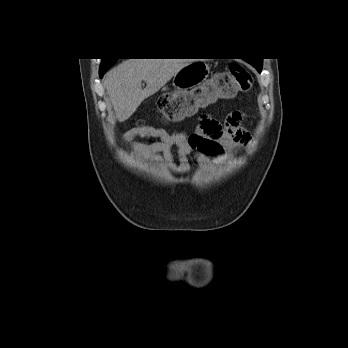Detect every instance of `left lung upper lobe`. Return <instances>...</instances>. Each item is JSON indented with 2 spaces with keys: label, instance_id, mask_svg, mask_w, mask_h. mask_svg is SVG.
Listing matches in <instances>:
<instances>
[{
  "label": "left lung upper lobe",
  "instance_id": "obj_1",
  "mask_svg": "<svg viewBox=\"0 0 348 348\" xmlns=\"http://www.w3.org/2000/svg\"><path fill=\"white\" fill-rule=\"evenodd\" d=\"M250 64H252L257 70L258 72L262 70V60L258 59V60H252V61H248Z\"/></svg>",
  "mask_w": 348,
  "mask_h": 348
}]
</instances>
